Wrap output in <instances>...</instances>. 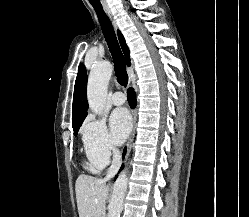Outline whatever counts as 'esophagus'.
I'll list each match as a JSON object with an SVG mask.
<instances>
[{
  "label": "esophagus",
  "instance_id": "34e87169",
  "mask_svg": "<svg viewBox=\"0 0 249 217\" xmlns=\"http://www.w3.org/2000/svg\"><path fill=\"white\" fill-rule=\"evenodd\" d=\"M104 11L107 14L108 18L110 19V21L112 22L114 28L117 29V23H116V20H115V18L113 16V13L111 12V10L108 7L105 6ZM136 120H137L136 111L132 110V132H131V135H130V138H129V141H128V144H127L125 158L128 157V155H129V153L131 151V148H132V143H133V140H134V137H135V131H136Z\"/></svg>",
  "mask_w": 249,
  "mask_h": 217
}]
</instances>
